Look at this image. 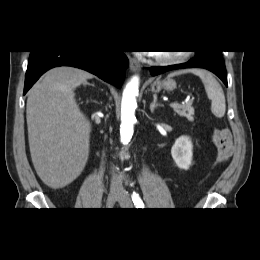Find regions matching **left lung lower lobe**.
Listing matches in <instances>:
<instances>
[{"label":"left lung lower lobe","instance_id":"obj_1","mask_svg":"<svg viewBox=\"0 0 260 260\" xmlns=\"http://www.w3.org/2000/svg\"><path fill=\"white\" fill-rule=\"evenodd\" d=\"M182 68L207 69L213 72L215 75H217L223 81V83L226 86H228L226 68H225L221 51H215V50L197 51L196 56L192 60L186 63L163 66V67H151L150 73L152 76H156L170 70L182 69Z\"/></svg>","mask_w":260,"mask_h":260}]
</instances>
